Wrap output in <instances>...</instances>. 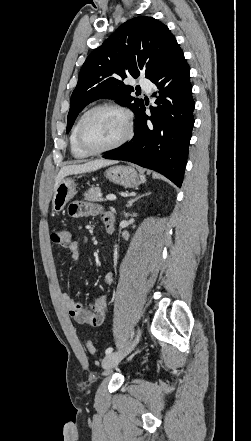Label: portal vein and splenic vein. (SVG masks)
Listing matches in <instances>:
<instances>
[{"label": "portal vein and splenic vein", "mask_w": 251, "mask_h": 441, "mask_svg": "<svg viewBox=\"0 0 251 441\" xmlns=\"http://www.w3.org/2000/svg\"><path fill=\"white\" fill-rule=\"evenodd\" d=\"M106 199L109 200V201H114V200H116V196L113 195V194H108V195L106 196Z\"/></svg>", "instance_id": "obj_1"}]
</instances>
